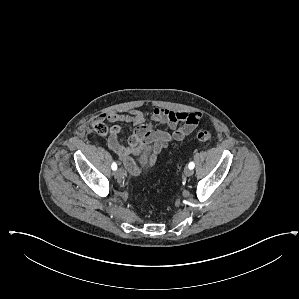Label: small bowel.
I'll return each instance as SVG.
<instances>
[{
	"label": "small bowel",
	"mask_w": 299,
	"mask_h": 299,
	"mask_svg": "<svg viewBox=\"0 0 299 299\" xmlns=\"http://www.w3.org/2000/svg\"><path fill=\"white\" fill-rule=\"evenodd\" d=\"M102 118L116 123L110 129L109 147L118 155L125 169L133 174L140 173L142 165L153 166L161 151L173 141H183L191 134L203 118L200 112L173 111L163 108H154L150 119L140 110H131L127 113L108 112ZM117 123H128L135 127L126 144L118 140L121 127ZM157 126H164L170 132L161 130ZM151 145L146 161L140 156L144 149Z\"/></svg>",
	"instance_id": "c3829d8e"
}]
</instances>
